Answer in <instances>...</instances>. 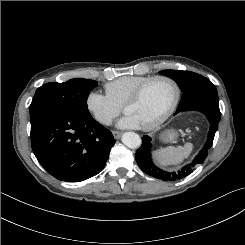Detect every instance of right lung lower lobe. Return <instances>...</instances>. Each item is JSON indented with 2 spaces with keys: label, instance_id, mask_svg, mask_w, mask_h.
<instances>
[{
  "label": "right lung lower lobe",
  "instance_id": "obj_1",
  "mask_svg": "<svg viewBox=\"0 0 245 245\" xmlns=\"http://www.w3.org/2000/svg\"><path fill=\"white\" fill-rule=\"evenodd\" d=\"M32 150L58 180L83 181L101 172L115 140L91 115L44 110L30 118Z\"/></svg>",
  "mask_w": 245,
  "mask_h": 245
}]
</instances>
